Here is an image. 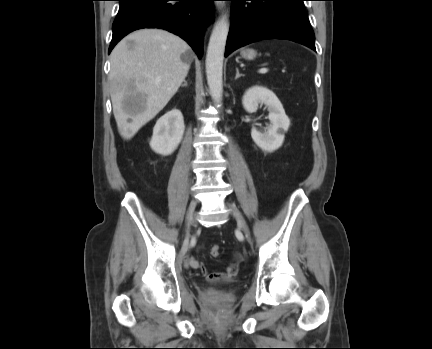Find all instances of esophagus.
I'll use <instances>...</instances> for the list:
<instances>
[{
	"label": "esophagus",
	"mask_w": 432,
	"mask_h": 349,
	"mask_svg": "<svg viewBox=\"0 0 432 349\" xmlns=\"http://www.w3.org/2000/svg\"><path fill=\"white\" fill-rule=\"evenodd\" d=\"M216 6H217L218 9L222 8V4L221 3H216Z\"/></svg>",
	"instance_id": "esophagus-1"
}]
</instances>
